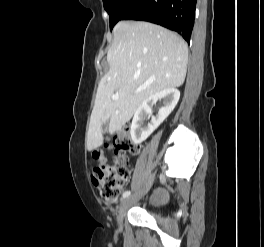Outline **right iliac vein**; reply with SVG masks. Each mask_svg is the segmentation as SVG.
<instances>
[{"mask_svg": "<svg viewBox=\"0 0 264 247\" xmlns=\"http://www.w3.org/2000/svg\"><path fill=\"white\" fill-rule=\"evenodd\" d=\"M153 175L150 176V178L147 180V182L145 183V185L134 195L124 199L121 204H120V208L118 210V214H117V223L118 226L121 228L122 226V222H123V218H124V213L125 211L135 202L139 201L150 189L152 183H153Z\"/></svg>", "mask_w": 264, "mask_h": 247, "instance_id": "obj_1", "label": "right iliac vein"}]
</instances>
